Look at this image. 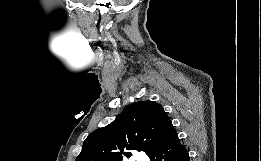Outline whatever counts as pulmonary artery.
<instances>
[{
    "label": "pulmonary artery",
    "mask_w": 261,
    "mask_h": 161,
    "mask_svg": "<svg viewBox=\"0 0 261 161\" xmlns=\"http://www.w3.org/2000/svg\"><path fill=\"white\" fill-rule=\"evenodd\" d=\"M137 161H149V159H148V157H146V156H139V157L137 158Z\"/></svg>",
    "instance_id": "e3ab8cb5"
}]
</instances>
